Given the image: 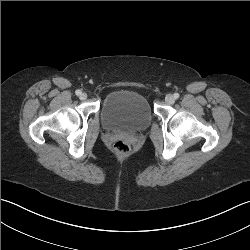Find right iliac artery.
Listing matches in <instances>:
<instances>
[{"mask_svg": "<svg viewBox=\"0 0 250 250\" xmlns=\"http://www.w3.org/2000/svg\"><path fill=\"white\" fill-rule=\"evenodd\" d=\"M75 93H76V95H77V96H80V95H81V93H82V91H81V90H76V92H75Z\"/></svg>", "mask_w": 250, "mask_h": 250, "instance_id": "1", "label": "right iliac artery"}]
</instances>
